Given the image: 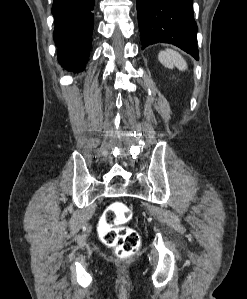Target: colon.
Instances as JSON below:
<instances>
[{"mask_svg":"<svg viewBox=\"0 0 247 299\" xmlns=\"http://www.w3.org/2000/svg\"><path fill=\"white\" fill-rule=\"evenodd\" d=\"M131 218L132 212L126 204L114 202L105 210L100 221L103 241L122 258L133 256L140 246L138 233L126 226Z\"/></svg>","mask_w":247,"mask_h":299,"instance_id":"obj_1","label":"colon"}]
</instances>
